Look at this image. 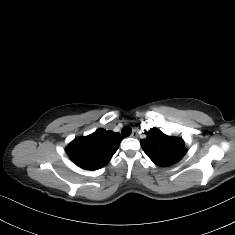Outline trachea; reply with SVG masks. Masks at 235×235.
Here are the masks:
<instances>
[{"label":"trachea","mask_w":235,"mask_h":235,"mask_svg":"<svg viewBox=\"0 0 235 235\" xmlns=\"http://www.w3.org/2000/svg\"><path fill=\"white\" fill-rule=\"evenodd\" d=\"M121 133L123 137H128L132 133V129L129 126H125Z\"/></svg>","instance_id":"1"}]
</instances>
